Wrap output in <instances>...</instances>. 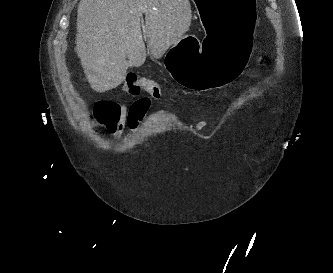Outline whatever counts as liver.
Returning <instances> with one entry per match:
<instances>
[{
  "label": "liver",
  "mask_w": 333,
  "mask_h": 273,
  "mask_svg": "<svg viewBox=\"0 0 333 273\" xmlns=\"http://www.w3.org/2000/svg\"><path fill=\"white\" fill-rule=\"evenodd\" d=\"M142 13L150 52L156 59L189 30L192 18L189 0L80 1L75 50L94 91L116 88L125 80L129 65L144 64Z\"/></svg>",
  "instance_id": "liver-1"
}]
</instances>
